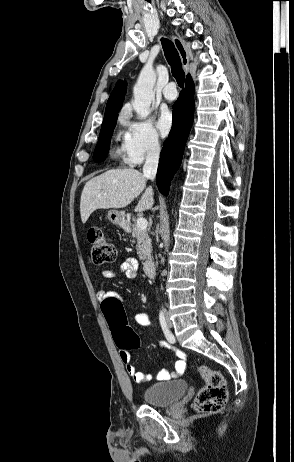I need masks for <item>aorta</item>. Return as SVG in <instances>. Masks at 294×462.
<instances>
[{
  "label": "aorta",
  "instance_id": "762f6f07",
  "mask_svg": "<svg viewBox=\"0 0 294 462\" xmlns=\"http://www.w3.org/2000/svg\"><path fill=\"white\" fill-rule=\"evenodd\" d=\"M155 82L154 69L149 65L144 66L133 89L134 101L132 106L140 118H145L150 113V105L154 99L153 87Z\"/></svg>",
  "mask_w": 294,
  "mask_h": 462
}]
</instances>
